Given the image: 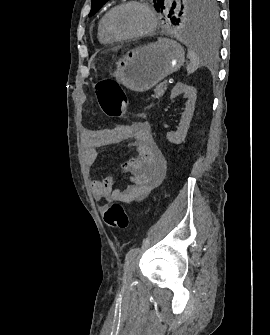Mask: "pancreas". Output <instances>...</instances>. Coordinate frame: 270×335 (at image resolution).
<instances>
[{"instance_id": "1", "label": "pancreas", "mask_w": 270, "mask_h": 335, "mask_svg": "<svg viewBox=\"0 0 270 335\" xmlns=\"http://www.w3.org/2000/svg\"><path fill=\"white\" fill-rule=\"evenodd\" d=\"M165 90H167L166 84H159V86H156L154 96H152V98H162Z\"/></svg>"}]
</instances>
